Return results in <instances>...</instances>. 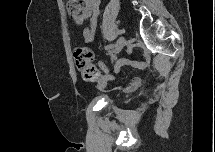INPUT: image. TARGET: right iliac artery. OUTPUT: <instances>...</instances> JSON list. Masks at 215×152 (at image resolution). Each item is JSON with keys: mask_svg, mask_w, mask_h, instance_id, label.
I'll return each mask as SVG.
<instances>
[{"mask_svg": "<svg viewBox=\"0 0 215 152\" xmlns=\"http://www.w3.org/2000/svg\"><path fill=\"white\" fill-rule=\"evenodd\" d=\"M116 47V44H112V45H108L107 47H106V49H113V48H115Z\"/></svg>", "mask_w": 215, "mask_h": 152, "instance_id": "1", "label": "right iliac artery"}]
</instances>
